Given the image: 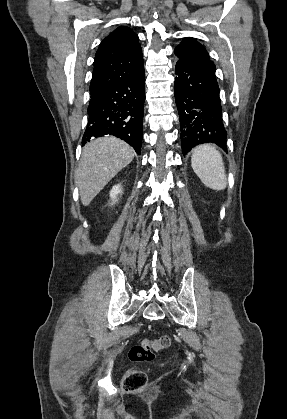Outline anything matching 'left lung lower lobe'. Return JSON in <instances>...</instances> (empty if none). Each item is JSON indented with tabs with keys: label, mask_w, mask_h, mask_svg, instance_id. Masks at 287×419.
<instances>
[{
	"label": "left lung lower lobe",
	"mask_w": 287,
	"mask_h": 419,
	"mask_svg": "<svg viewBox=\"0 0 287 419\" xmlns=\"http://www.w3.org/2000/svg\"><path fill=\"white\" fill-rule=\"evenodd\" d=\"M215 70V65L176 63L174 93L184 155L202 143H215L227 152V132L222 122Z\"/></svg>",
	"instance_id": "obj_1"
}]
</instances>
